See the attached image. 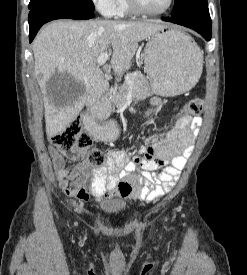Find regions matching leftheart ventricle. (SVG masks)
<instances>
[{
  "mask_svg": "<svg viewBox=\"0 0 247 275\" xmlns=\"http://www.w3.org/2000/svg\"><path fill=\"white\" fill-rule=\"evenodd\" d=\"M141 2L148 10L158 11L165 8L169 0H141Z\"/></svg>",
  "mask_w": 247,
  "mask_h": 275,
  "instance_id": "obj_1",
  "label": "left heart ventricle"
}]
</instances>
